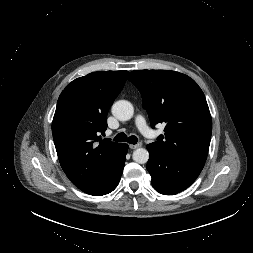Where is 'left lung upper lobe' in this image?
Listing matches in <instances>:
<instances>
[{
	"mask_svg": "<svg viewBox=\"0 0 253 253\" xmlns=\"http://www.w3.org/2000/svg\"><path fill=\"white\" fill-rule=\"evenodd\" d=\"M140 91L151 126L165 123L154 142L170 158L202 170L208 155L212 120L203 91L189 76L167 70H136L128 75Z\"/></svg>",
	"mask_w": 253,
	"mask_h": 253,
	"instance_id": "5c2ea615",
	"label": "left lung upper lobe"
}]
</instances>
